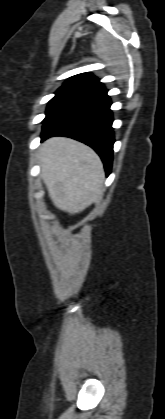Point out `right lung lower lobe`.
Listing matches in <instances>:
<instances>
[{
  "mask_svg": "<svg viewBox=\"0 0 165 419\" xmlns=\"http://www.w3.org/2000/svg\"><path fill=\"white\" fill-rule=\"evenodd\" d=\"M110 105L106 89L84 96L50 115L44 121L41 137L67 136L91 146L101 157L108 176L114 144Z\"/></svg>",
  "mask_w": 165,
  "mask_h": 419,
  "instance_id": "1",
  "label": "right lung lower lobe"
}]
</instances>
